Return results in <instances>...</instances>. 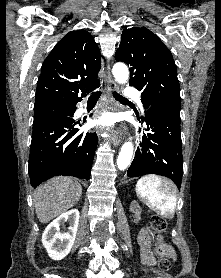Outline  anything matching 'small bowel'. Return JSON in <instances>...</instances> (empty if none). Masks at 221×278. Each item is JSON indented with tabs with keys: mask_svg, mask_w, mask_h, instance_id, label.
Masks as SVG:
<instances>
[{
	"mask_svg": "<svg viewBox=\"0 0 221 278\" xmlns=\"http://www.w3.org/2000/svg\"><path fill=\"white\" fill-rule=\"evenodd\" d=\"M138 242L141 247V257L143 263L147 266L153 265L155 263V255L154 252L150 249L151 236L147 228H143L140 231ZM166 249L170 256H175L173 250L169 246H166Z\"/></svg>",
	"mask_w": 221,
	"mask_h": 278,
	"instance_id": "1",
	"label": "small bowel"
}]
</instances>
